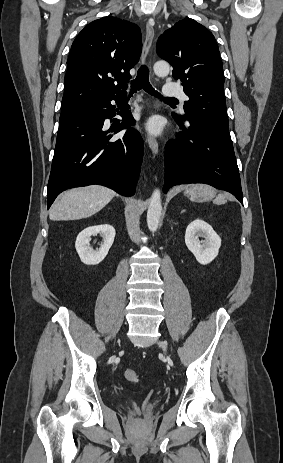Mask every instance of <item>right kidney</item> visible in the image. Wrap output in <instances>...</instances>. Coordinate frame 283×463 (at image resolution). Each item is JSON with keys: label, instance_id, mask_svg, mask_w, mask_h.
Segmentation results:
<instances>
[{"label": "right kidney", "instance_id": "1", "mask_svg": "<svg viewBox=\"0 0 283 463\" xmlns=\"http://www.w3.org/2000/svg\"><path fill=\"white\" fill-rule=\"evenodd\" d=\"M100 234L103 244L99 250L94 251L89 244L92 235ZM115 238V229L109 224L91 226L81 231L76 239L75 247L80 260L87 265L99 264L108 254Z\"/></svg>", "mask_w": 283, "mask_h": 463}]
</instances>
